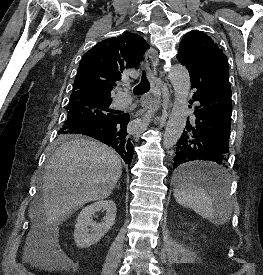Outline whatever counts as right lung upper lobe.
<instances>
[{"instance_id": "obj_1", "label": "right lung upper lobe", "mask_w": 263, "mask_h": 275, "mask_svg": "<svg viewBox=\"0 0 263 275\" xmlns=\"http://www.w3.org/2000/svg\"><path fill=\"white\" fill-rule=\"evenodd\" d=\"M147 48L146 41L133 33L99 42L82 57L71 96L94 94L110 98L115 82L121 79V72L137 67Z\"/></svg>"}]
</instances>
